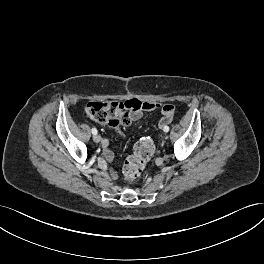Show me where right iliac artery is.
<instances>
[{
  "instance_id": "82829eb1",
  "label": "right iliac artery",
  "mask_w": 264,
  "mask_h": 264,
  "mask_svg": "<svg viewBox=\"0 0 264 264\" xmlns=\"http://www.w3.org/2000/svg\"><path fill=\"white\" fill-rule=\"evenodd\" d=\"M92 134H97V129L96 128H92Z\"/></svg>"
}]
</instances>
